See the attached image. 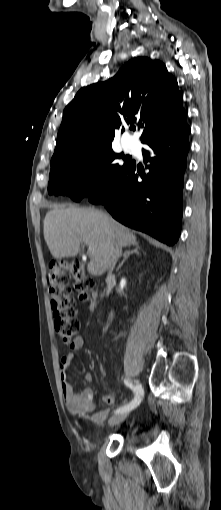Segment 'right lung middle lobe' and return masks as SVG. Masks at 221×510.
<instances>
[{
    "mask_svg": "<svg viewBox=\"0 0 221 510\" xmlns=\"http://www.w3.org/2000/svg\"><path fill=\"white\" fill-rule=\"evenodd\" d=\"M117 159L124 163L118 164ZM131 164L123 153H114L111 145L71 151L51 165L48 192L66 194L77 202L83 197L92 198L112 185Z\"/></svg>",
    "mask_w": 221,
    "mask_h": 510,
    "instance_id": "1",
    "label": "right lung middle lobe"
}]
</instances>
